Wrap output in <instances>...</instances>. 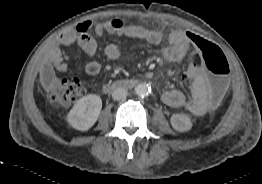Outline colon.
I'll return each instance as SVG.
<instances>
[{"mask_svg": "<svg viewBox=\"0 0 262 184\" xmlns=\"http://www.w3.org/2000/svg\"><path fill=\"white\" fill-rule=\"evenodd\" d=\"M110 25L115 30L124 28L121 20H112ZM199 63L208 72L207 89L210 106L218 108L228 88L229 63L222 50L215 44L199 37L194 40ZM84 91L78 78L56 80L50 88V101L56 107H66L75 102Z\"/></svg>", "mask_w": 262, "mask_h": 184, "instance_id": "obj_1", "label": "colon"}]
</instances>
